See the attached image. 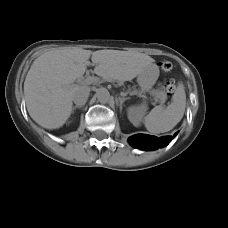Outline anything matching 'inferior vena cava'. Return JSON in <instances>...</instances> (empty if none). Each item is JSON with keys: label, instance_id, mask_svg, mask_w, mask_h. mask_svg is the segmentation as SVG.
<instances>
[{"label": "inferior vena cava", "instance_id": "inferior-vena-cava-1", "mask_svg": "<svg viewBox=\"0 0 228 228\" xmlns=\"http://www.w3.org/2000/svg\"><path fill=\"white\" fill-rule=\"evenodd\" d=\"M89 92H90L89 88H84V87L77 88L74 91L72 96L73 102L78 106L85 105L88 100Z\"/></svg>", "mask_w": 228, "mask_h": 228}]
</instances>
